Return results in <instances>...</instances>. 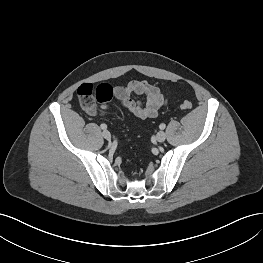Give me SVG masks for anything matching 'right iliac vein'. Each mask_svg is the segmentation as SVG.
Returning a JSON list of instances; mask_svg holds the SVG:
<instances>
[{"label": "right iliac vein", "instance_id": "63e3f726", "mask_svg": "<svg viewBox=\"0 0 263 263\" xmlns=\"http://www.w3.org/2000/svg\"><path fill=\"white\" fill-rule=\"evenodd\" d=\"M102 136L106 139V140H110L111 139V134L108 130H104L102 132Z\"/></svg>", "mask_w": 263, "mask_h": 263}]
</instances>
